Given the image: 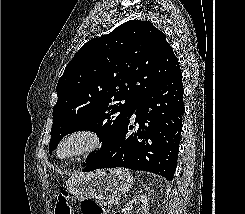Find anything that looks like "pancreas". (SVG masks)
I'll return each mask as SVG.
<instances>
[{
    "mask_svg": "<svg viewBox=\"0 0 245 214\" xmlns=\"http://www.w3.org/2000/svg\"><path fill=\"white\" fill-rule=\"evenodd\" d=\"M103 205L111 207L114 204L113 200H105L101 202Z\"/></svg>",
    "mask_w": 245,
    "mask_h": 214,
    "instance_id": "pancreas-1",
    "label": "pancreas"
}]
</instances>
